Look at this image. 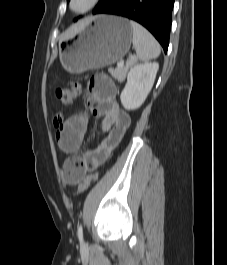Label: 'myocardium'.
<instances>
[{
  "label": "myocardium",
  "mask_w": 227,
  "mask_h": 265,
  "mask_svg": "<svg viewBox=\"0 0 227 265\" xmlns=\"http://www.w3.org/2000/svg\"><path fill=\"white\" fill-rule=\"evenodd\" d=\"M74 2L75 0H69V9L73 12V13H76V14H84V13H87L89 12L90 10L94 9L98 3L100 2V0H89L88 4L81 8V9H76L74 8Z\"/></svg>",
  "instance_id": "myocardium-1"
}]
</instances>
